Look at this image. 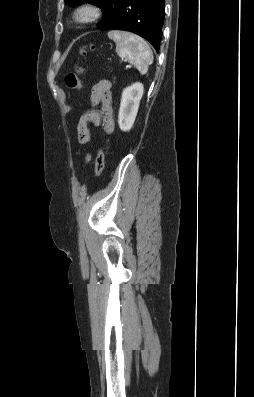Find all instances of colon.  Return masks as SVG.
<instances>
[{"mask_svg": "<svg viewBox=\"0 0 254 397\" xmlns=\"http://www.w3.org/2000/svg\"><path fill=\"white\" fill-rule=\"evenodd\" d=\"M94 46H84L80 49L79 55L81 58H84L87 55L88 50H91ZM84 73V67L81 64H78L75 69L68 73L65 77V84L69 89L80 91L82 90V75ZM105 164V154L102 147H99L97 151L96 161H95V175L99 176Z\"/></svg>", "mask_w": 254, "mask_h": 397, "instance_id": "obj_1", "label": "colon"}]
</instances>
